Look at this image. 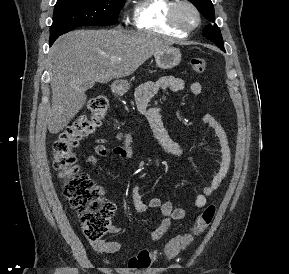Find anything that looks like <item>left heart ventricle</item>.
<instances>
[{
  "label": "left heart ventricle",
  "instance_id": "obj_1",
  "mask_svg": "<svg viewBox=\"0 0 289 274\" xmlns=\"http://www.w3.org/2000/svg\"><path fill=\"white\" fill-rule=\"evenodd\" d=\"M178 15L181 22L185 25H192L195 23V15L188 7H181Z\"/></svg>",
  "mask_w": 289,
  "mask_h": 274
}]
</instances>
